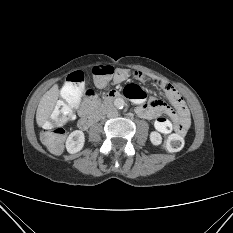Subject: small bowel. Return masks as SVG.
Segmentation results:
<instances>
[{
    "label": "small bowel",
    "instance_id": "obj_1",
    "mask_svg": "<svg viewBox=\"0 0 233 233\" xmlns=\"http://www.w3.org/2000/svg\"><path fill=\"white\" fill-rule=\"evenodd\" d=\"M130 78H135L141 82H150L158 88L168 103L160 98H152L146 101L144 91L135 84H130L125 88V94L136 105V113L139 117L147 120H154L155 129L162 134L172 131L184 135L190 126L189 111L174 86L160 78L143 74L141 72H131L125 68H118L113 77V84L123 83ZM96 106V101L85 99L80 108L81 118L89 116Z\"/></svg>",
    "mask_w": 233,
    "mask_h": 233
}]
</instances>
